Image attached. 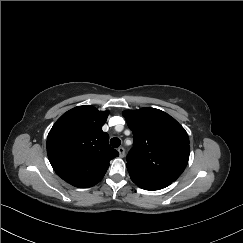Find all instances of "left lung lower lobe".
Here are the masks:
<instances>
[{
    "label": "left lung lower lobe",
    "mask_w": 243,
    "mask_h": 243,
    "mask_svg": "<svg viewBox=\"0 0 243 243\" xmlns=\"http://www.w3.org/2000/svg\"><path fill=\"white\" fill-rule=\"evenodd\" d=\"M173 181H161L155 184H151V185H138L140 188L145 189V190H159L162 188L167 187L168 185H170Z\"/></svg>",
    "instance_id": "obj_1"
}]
</instances>
